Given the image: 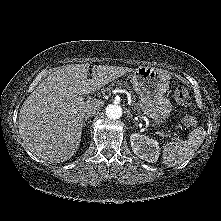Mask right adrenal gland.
I'll use <instances>...</instances> for the list:
<instances>
[{
  "label": "right adrenal gland",
  "mask_w": 221,
  "mask_h": 221,
  "mask_svg": "<svg viewBox=\"0 0 221 221\" xmlns=\"http://www.w3.org/2000/svg\"><path fill=\"white\" fill-rule=\"evenodd\" d=\"M90 116H85L84 122H83V126L86 125L87 120L89 119Z\"/></svg>",
  "instance_id": "2a0ac1e0"
}]
</instances>
